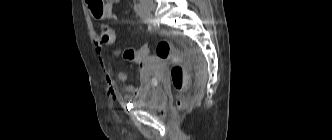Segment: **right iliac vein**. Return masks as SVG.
<instances>
[{
	"label": "right iliac vein",
	"mask_w": 332,
	"mask_h": 140,
	"mask_svg": "<svg viewBox=\"0 0 332 140\" xmlns=\"http://www.w3.org/2000/svg\"><path fill=\"white\" fill-rule=\"evenodd\" d=\"M140 4L145 9L147 15H153V12L155 10V4L152 0H140Z\"/></svg>",
	"instance_id": "right-iliac-vein-1"
}]
</instances>
